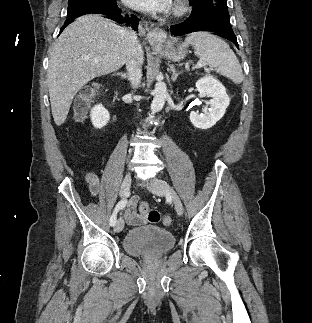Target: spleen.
Here are the masks:
<instances>
[{
  "label": "spleen",
  "mask_w": 312,
  "mask_h": 323,
  "mask_svg": "<svg viewBox=\"0 0 312 323\" xmlns=\"http://www.w3.org/2000/svg\"><path fill=\"white\" fill-rule=\"evenodd\" d=\"M185 44H191L196 56L218 74L230 78L234 84L243 82L242 68L228 44L214 36L212 32H192L187 34Z\"/></svg>",
  "instance_id": "spleen-1"
}]
</instances>
